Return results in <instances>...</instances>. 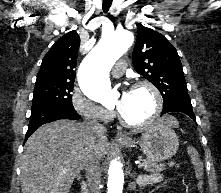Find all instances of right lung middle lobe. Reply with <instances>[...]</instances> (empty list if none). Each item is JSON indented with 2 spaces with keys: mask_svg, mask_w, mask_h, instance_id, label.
Masks as SVG:
<instances>
[{
  "mask_svg": "<svg viewBox=\"0 0 221 193\" xmlns=\"http://www.w3.org/2000/svg\"><path fill=\"white\" fill-rule=\"evenodd\" d=\"M73 87L74 83L36 84L31 113L53 107L74 109L71 95Z\"/></svg>",
  "mask_w": 221,
  "mask_h": 193,
  "instance_id": "1",
  "label": "right lung middle lobe"
}]
</instances>
